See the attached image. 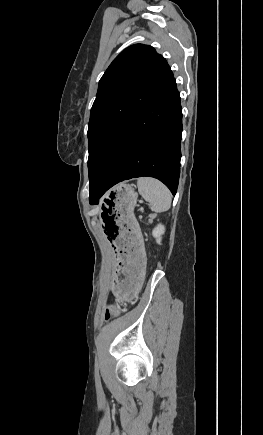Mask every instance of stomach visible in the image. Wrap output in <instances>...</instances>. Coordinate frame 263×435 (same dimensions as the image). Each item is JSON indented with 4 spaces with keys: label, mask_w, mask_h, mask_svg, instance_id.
Here are the masks:
<instances>
[{
    "label": "stomach",
    "mask_w": 263,
    "mask_h": 435,
    "mask_svg": "<svg viewBox=\"0 0 263 435\" xmlns=\"http://www.w3.org/2000/svg\"><path fill=\"white\" fill-rule=\"evenodd\" d=\"M136 201L132 186L120 184L105 196L102 204L101 233H106L117 256L111 287L119 305L137 299L145 286V238L135 216Z\"/></svg>",
    "instance_id": "stomach-1"
}]
</instances>
